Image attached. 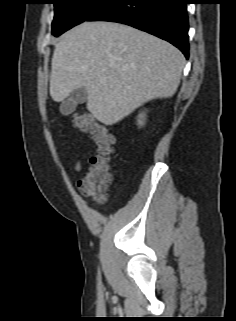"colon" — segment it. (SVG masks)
Returning <instances> with one entry per match:
<instances>
[{
	"mask_svg": "<svg viewBox=\"0 0 236 321\" xmlns=\"http://www.w3.org/2000/svg\"><path fill=\"white\" fill-rule=\"evenodd\" d=\"M73 126L90 134L96 146V154L90 158L88 168L79 181V191L92 202L101 203L113 178V137L90 114L74 115Z\"/></svg>",
	"mask_w": 236,
	"mask_h": 321,
	"instance_id": "obj_1",
	"label": "colon"
}]
</instances>
